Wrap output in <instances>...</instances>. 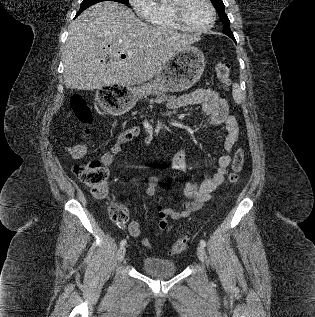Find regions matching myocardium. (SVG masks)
<instances>
[{
	"mask_svg": "<svg viewBox=\"0 0 315 317\" xmlns=\"http://www.w3.org/2000/svg\"><path fill=\"white\" fill-rule=\"evenodd\" d=\"M186 0H169V11L174 23L182 30L193 33H204L212 29L216 20V10L211 0H204L210 11V21L205 27L195 28L189 26L183 18V8Z\"/></svg>",
	"mask_w": 315,
	"mask_h": 317,
	"instance_id": "f54148a6",
	"label": "myocardium"
}]
</instances>
